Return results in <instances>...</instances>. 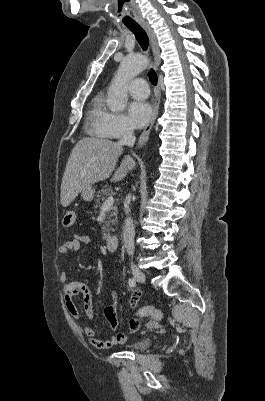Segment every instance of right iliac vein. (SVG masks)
<instances>
[{
    "mask_svg": "<svg viewBox=\"0 0 265 401\" xmlns=\"http://www.w3.org/2000/svg\"><path fill=\"white\" fill-rule=\"evenodd\" d=\"M131 272L134 276V278L139 282V283H145L146 282V276L144 273L135 265H131Z\"/></svg>",
    "mask_w": 265,
    "mask_h": 401,
    "instance_id": "right-iliac-vein-1",
    "label": "right iliac vein"
}]
</instances>
